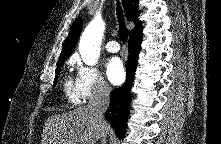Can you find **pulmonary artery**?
I'll use <instances>...</instances> for the list:
<instances>
[{
    "label": "pulmonary artery",
    "mask_w": 221,
    "mask_h": 144,
    "mask_svg": "<svg viewBox=\"0 0 221 144\" xmlns=\"http://www.w3.org/2000/svg\"><path fill=\"white\" fill-rule=\"evenodd\" d=\"M105 48L108 52L110 53H116L120 50V46L117 41H109L106 45Z\"/></svg>",
    "instance_id": "e3ab8cb5"
}]
</instances>
